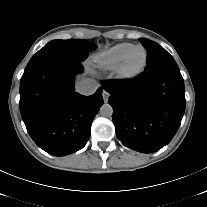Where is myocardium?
Listing matches in <instances>:
<instances>
[{"instance_id": "myocardium-1", "label": "myocardium", "mask_w": 207, "mask_h": 207, "mask_svg": "<svg viewBox=\"0 0 207 207\" xmlns=\"http://www.w3.org/2000/svg\"><path fill=\"white\" fill-rule=\"evenodd\" d=\"M135 49H141L144 53V60L143 63L141 64L140 67H138L135 70H128L127 69V62L128 59L131 55V53L135 50ZM148 63V53L147 50L145 49L144 46L142 45H133L128 52L125 54V56L123 57V59L121 60L120 64L118 65L117 69H116V76L118 77V79L123 80V81H131L136 79L137 77H139L145 70L146 66Z\"/></svg>"}]
</instances>
